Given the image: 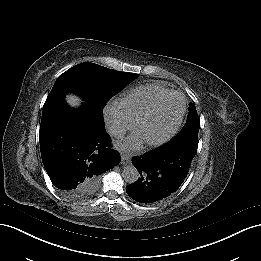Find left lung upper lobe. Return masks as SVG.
<instances>
[{
	"instance_id": "5c2ea615",
	"label": "left lung upper lobe",
	"mask_w": 261,
	"mask_h": 261,
	"mask_svg": "<svg viewBox=\"0 0 261 261\" xmlns=\"http://www.w3.org/2000/svg\"><path fill=\"white\" fill-rule=\"evenodd\" d=\"M199 129L200 119L198 118L196 107L190 103L186 124L172 142H183L197 150Z\"/></svg>"
}]
</instances>
